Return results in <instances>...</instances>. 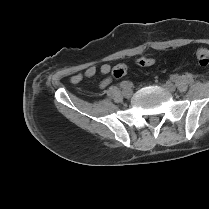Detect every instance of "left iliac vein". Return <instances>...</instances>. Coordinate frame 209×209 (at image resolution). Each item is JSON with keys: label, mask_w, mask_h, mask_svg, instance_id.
Wrapping results in <instances>:
<instances>
[{"label": "left iliac vein", "mask_w": 209, "mask_h": 209, "mask_svg": "<svg viewBox=\"0 0 209 209\" xmlns=\"http://www.w3.org/2000/svg\"><path fill=\"white\" fill-rule=\"evenodd\" d=\"M164 88L170 92H174L176 89L175 85L169 81L164 84Z\"/></svg>", "instance_id": "obj_1"}]
</instances>
